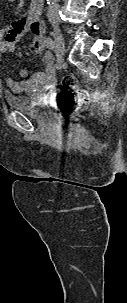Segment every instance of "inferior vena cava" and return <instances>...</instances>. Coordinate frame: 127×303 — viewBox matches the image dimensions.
I'll return each mask as SVG.
<instances>
[{
	"label": "inferior vena cava",
	"mask_w": 127,
	"mask_h": 303,
	"mask_svg": "<svg viewBox=\"0 0 127 303\" xmlns=\"http://www.w3.org/2000/svg\"><path fill=\"white\" fill-rule=\"evenodd\" d=\"M58 1L59 0H53V3L50 5L49 9H48V18L49 19H56L59 20V5H58Z\"/></svg>",
	"instance_id": "602c4592"
}]
</instances>
